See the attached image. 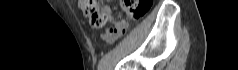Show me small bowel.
Instances as JSON below:
<instances>
[{"label": "small bowel", "instance_id": "1", "mask_svg": "<svg viewBox=\"0 0 238 70\" xmlns=\"http://www.w3.org/2000/svg\"><path fill=\"white\" fill-rule=\"evenodd\" d=\"M102 11L106 14L107 16V21L112 22V17H111V9L109 6L104 5L102 6ZM127 22L125 20H120V21H116L113 22V26L108 28L102 35V38L106 41V42H113L116 39H118L120 36H122L126 29H127ZM111 29H117L118 32L113 34L111 33Z\"/></svg>", "mask_w": 238, "mask_h": 70}]
</instances>
